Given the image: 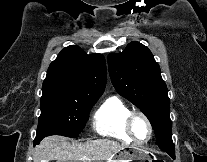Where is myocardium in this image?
<instances>
[{"instance_id":"f54148a6","label":"myocardium","mask_w":207,"mask_h":162,"mask_svg":"<svg viewBox=\"0 0 207 162\" xmlns=\"http://www.w3.org/2000/svg\"><path fill=\"white\" fill-rule=\"evenodd\" d=\"M136 117H141L146 122V124L148 126L149 134L145 140H138L134 136V133L132 130V123ZM125 130H126L127 135L130 137V139L136 143H146L152 138V135H153V126H152L151 121L144 113H142L140 111H132L128 115V117L126 118V121H125Z\"/></svg>"}]
</instances>
